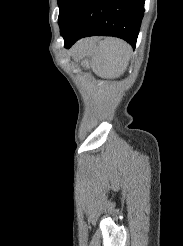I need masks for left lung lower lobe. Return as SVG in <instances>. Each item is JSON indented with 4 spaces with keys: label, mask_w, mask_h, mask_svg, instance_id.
<instances>
[{
    "label": "left lung lower lobe",
    "mask_w": 183,
    "mask_h": 246,
    "mask_svg": "<svg viewBox=\"0 0 183 246\" xmlns=\"http://www.w3.org/2000/svg\"><path fill=\"white\" fill-rule=\"evenodd\" d=\"M145 0H74L60 26L65 48L78 39L115 36L136 46Z\"/></svg>",
    "instance_id": "0a47b994"
}]
</instances>
